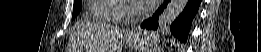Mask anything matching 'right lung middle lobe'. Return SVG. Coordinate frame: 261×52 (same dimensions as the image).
I'll return each mask as SVG.
<instances>
[{
	"instance_id": "dd1d6c3e",
	"label": "right lung middle lobe",
	"mask_w": 261,
	"mask_h": 52,
	"mask_svg": "<svg viewBox=\"0 0 261 52\" xmlns=\"http://www.w3.org/2000/svg\"><path fill=\"white\" fill-rule=\"evenodd\" d=\"M81 9V1L74 3L72 19L79 13Z\"/></svg>"
}]
</instances>
